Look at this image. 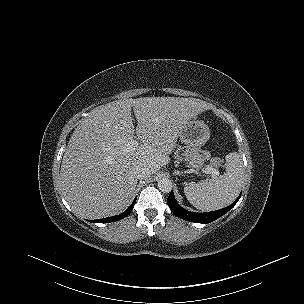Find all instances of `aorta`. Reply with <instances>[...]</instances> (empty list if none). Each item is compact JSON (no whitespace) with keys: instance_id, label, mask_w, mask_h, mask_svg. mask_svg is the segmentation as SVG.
<instances>
[{"instance_id":"1","label":"aorta","mask_w":304,"mask_h":304,"mask_svg":"<svg viewBox=\"0 0 304 304\" xmlns=\"http://www.w3.org/2000/svg\"><path fill=\"white\" fill-rule=\"evenodd\" d=\"M157 184H158L157 186H158L159 190L164 193H169L173 187L171 180L167 177L159 178Z\"/></svg>"}]
</instances>
